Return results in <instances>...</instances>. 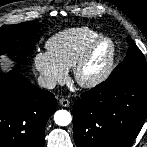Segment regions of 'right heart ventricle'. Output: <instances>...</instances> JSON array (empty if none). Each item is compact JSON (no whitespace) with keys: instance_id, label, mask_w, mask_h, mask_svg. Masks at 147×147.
<instances>
[{"instance_id":"e07e8e85","label":"right heart ventricle","mask_w":147,"mask_h":147,"mask_svg":"<svg viewBox=\"0 0 147 147\" xmlns=\"http://www.w3.org/2000/svg\"><path fill=\"white\" fill-rule=\"evenodd\" d=\"M98 35L89 27H76L61 31L46 42L47 52L67 70L73 68L87 45Z\"/></svg>"}]
</instances>
